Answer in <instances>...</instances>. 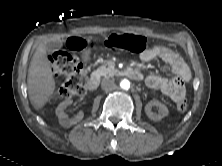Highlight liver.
<instances>
[{"instance_id": "6515ba94", "label": "liver", "mask_w": 222, "mask_h": 166, "mask_svg": "<svg viewBox=\"0 0 222 166\" xmlns=\"http://www.w3.org/2000/svg\"><path fill=\"white\" fill-rule=\"evenodd\" d=\"M27 84L31 104L34 108L41 109L53 95L56 88L50 62L47 59V48L43 43L37 47L32 57Z\"/></svg>"}]
</instances>
